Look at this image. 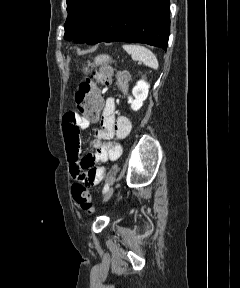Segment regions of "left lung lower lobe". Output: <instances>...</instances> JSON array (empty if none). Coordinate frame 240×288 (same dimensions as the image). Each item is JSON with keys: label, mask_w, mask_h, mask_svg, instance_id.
Segmentation results:
<instances>
[{"label": "left lung lower lobe", "mask_w": 240, "mask_h": 288, "mask_svg": "<svg viewBox=\"0 0 240 288\" xmlns=\"http://www.w3.org/2000/svg\"><path fill=\"white\" fill-rule=\"evenodd\" d=\"M169 0H109L87 44L135 42L167 49Z\"/></svg>", "instance_id": "1"}]
</instances>
